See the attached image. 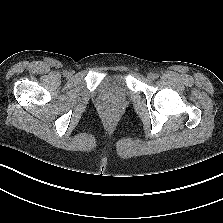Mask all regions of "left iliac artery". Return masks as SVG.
I'll return each mask as SVG.
<instances>
[{
	"instance_id": "1",
	"label": "left iliac artery",
	"mask_w": 223,
	"mask_h": 223,
	"mask_svg": "<svg viewBox=\"0 0 223 223\" xmlns=\"http://www.w3.org/2000/svg\"><path fill=\"white\" fill-rule=\"evenodd\" d=\"M158 77H159V74L156 73V74H155V78H158Z\"/></svg>"
}]
</instances>
